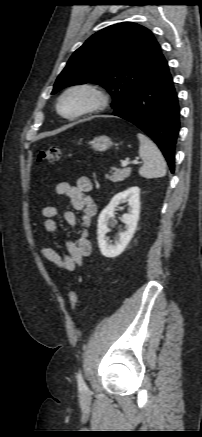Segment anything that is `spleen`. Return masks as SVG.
<instances>
[{
	"label": "spleen",
	"mask_w": 202,
	"mask_h": 437,
	"mask_svg": "<svg viewBox=\"0 0 202 437\" xmlns=\"http://www.w3.org/2000/svg\"><path fill=\"white\" fill-rule=\"evenodd\" d=\"M137 137L140 141L139 156L144 161L139 174L147 179L164 177L166 162L158 147L142 133H138Z\"/></svg>",
	"instance_id": "1"
}]
</instances>
